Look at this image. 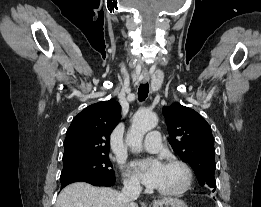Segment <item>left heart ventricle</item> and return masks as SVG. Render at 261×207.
<instances>
[{"label":"left heart ventricle","mask_w":261,"mask_h":207,"mask_svg":"<svg viewBox=\"0 0 261 207\" xmlns=\"http://www.w3.org/2000/svg\"><path fill=\"white\" fill-rule=\"evenodd\" d=\"M184 180V173L181 168L172 165H164L157 189L174 190L179 188Z\"/></svg>","instance_id":"obj_1"}]
</instances>
